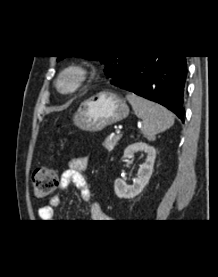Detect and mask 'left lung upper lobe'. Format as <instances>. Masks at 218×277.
Here are the masks:
<instances>
[{
    "mask_svg": "<svg viewBox=\"0 0 218 277\" xmlns=\"http://www.w3.org/2000/svg\"><path fill=\"white\" fill-rule=\"evenodd\" d=\"M88 59L99 60L106 65L105 74L112 78L114 75L122 72L129 61L132 59V55L123 56H84ZM64 56H58L57 60L63 59Z\"/></svg>",
    "mask_w": 218,
    "mask_h": 277,
    "instance_id": "left-lung-upper-lobe-1",
    "label": "left lung upper lobe"
}]
</instances>
